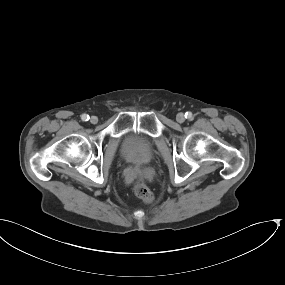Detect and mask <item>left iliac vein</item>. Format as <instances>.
<instances>
[{"label":"left iliac vein","mask_w":285,"mask_h":285,"mask_svg":"<svg viewBox=\"0 0 285 285\" xmlns=\"http://www.w3.org/2000/svg\"><path fill=\"white\" fill-rule=\"evenodd\" d=\"M176 120L179 122V123H183L185 121V115L183 113H178L176 115Z\"/></svg>","instance_id":"4c4485c4"}]
</instances>
